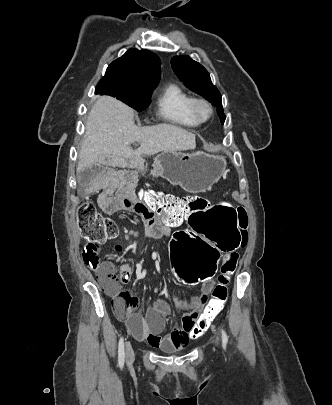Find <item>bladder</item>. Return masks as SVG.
Returning <instances> with one entry per match:
<instances>
[{"label": "bladder", "instance_id": "obj_1", "mask_svg": "<svg viewBox=\"0 0 332 405\" xmlns=\"http://www.w3.org/2000/svg\"><path fill=\"white\" fill-rule=\"evenodd\" d=\"M177 351H178L177 349L171 348V349L166 350V353H175Z\"/></svg>", "mask_w": 332, "mask_h": 405}]
</instances>
